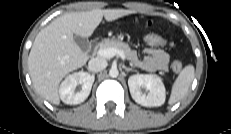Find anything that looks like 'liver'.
Returning <instances> with one entry per match:
<instances>
[{"instance_id":"liver-1","label":"liver","mask_w":231,"mask_h":134,"mask_svg":"<svg viewBox=\"0 0 231 134\" xmlns=\"http://www.w3.org/2000/svg\"><path fill=\"white\" fill-rule=\"evenodd\" d=\"M135 13L125 9H94L70 12L53 20L36 36L28 57L32 83L43 98L59 105L60 81L70 72L81 68L88 56L74 41V35L90 37L103 17L114 21Z\"/></svg>"}]
</instances>
